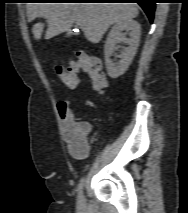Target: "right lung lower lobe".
<instances>
[{
  "instance_id": "1",
  "label": "right lung lower lobe",
  "mask_w": 188,
  "mask_h": 213,
  "mask_svg": "<svg viewBox=\"0 0 188 213\" xmlns=\"http://www.w3.org/2000/svg\"><path fill=\"white\" fill-rule=\"evenodd\" d=\"M96 1H130V2H136L145 11L149 20L151 22L153 21L156 0H96Z\"/></svg>"
}]
</instances>
